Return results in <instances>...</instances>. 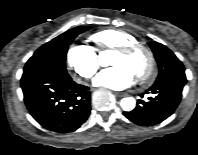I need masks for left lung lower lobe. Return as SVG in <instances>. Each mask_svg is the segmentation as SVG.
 Here are the masks:
<instances>
[{
    "mask_svg": "<svg viewBox=\"0 0 198 155\" xmlns=\"http://www.w3.org/2000/svg\"><path fill=\"white\" fill-rule=\"evenodd\" d=\"M186 78H169L154 83L145 94L152 93L148 101L138 100L136 108L124 115L132 122L141 126H152L167 119L177 108L182 97ZM143 96V94H141ZM145 113H147L145 115Z\"/></svg>",
    "mask_w": 198,
    "mask_h": 155,
    "instance_id": "left-lung-lower-lobe-1",
    "label": "left lung lower lobe"
}]
</instances>
